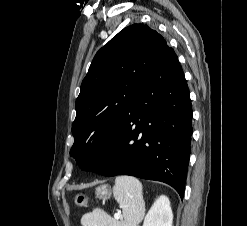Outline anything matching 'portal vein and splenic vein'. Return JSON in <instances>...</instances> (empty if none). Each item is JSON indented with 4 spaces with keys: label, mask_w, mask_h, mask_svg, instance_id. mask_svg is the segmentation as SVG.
<instances>
[{
    "label": "portal vein and splenic vein",
    "mask_w": 247,
    "mask_h": 226,
    "mask_svg": "<svg viewBox=\"0 0 247 226\" xmlns=\"http://www.w3.org/2000/svg\"><path fill=\"white\" fill-rule=\"evenodd\" d=\"M120 217H121L120 213H116V214L114 215V219H115V220H119Z\"/></svg>",
    "instance_id": "portal-vein-and-splenic-vein-1"
}]
</instances>
